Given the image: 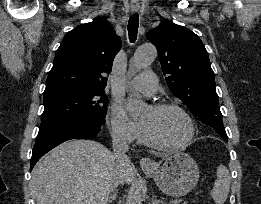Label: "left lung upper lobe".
<instances>
[{
	"label": "left lung upper lobe",
	"mask_w": 261,
	"mask_h": 204,
	"mask_svg": "<svg viewBox=\"0 0 261 204\" xmlns=\"http://www.w3.org/2000/svg\"><path fill=\"white\" fill-rule=\"evenodd\" d=\"M146 37L157 48L171 92L187 105L194 116L228 141L215 90L214 72L201 39L172 21L161 22Z\"/></svg>",
	"instance_id": "1"
}]
</instances>
